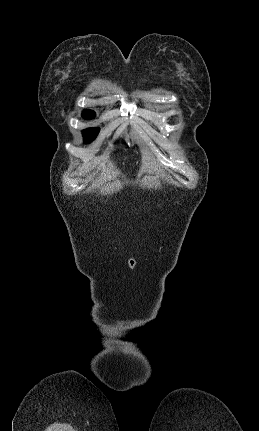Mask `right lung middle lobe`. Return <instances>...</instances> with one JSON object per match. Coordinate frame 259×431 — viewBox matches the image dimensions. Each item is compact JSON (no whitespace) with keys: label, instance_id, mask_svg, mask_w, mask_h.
<instances>
[{"label":"right lung middle lobe","instance_id":"dd1d6c3e","mask_svg":"<svg viewBox=\"0 0 259 431\" xmlns=\"http://www.w3.org/2000/svg\"><path fill=\"white\" fill-rule=\"evenodd\" d=\"M82 116L86 119L94 118L95 112L92 110H84ZM99 132V128H87L83 130L84 140L88 143L95 139Z\"/></svg>","mask_w":259,"mask_h":431}]
</instances>
